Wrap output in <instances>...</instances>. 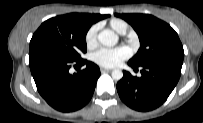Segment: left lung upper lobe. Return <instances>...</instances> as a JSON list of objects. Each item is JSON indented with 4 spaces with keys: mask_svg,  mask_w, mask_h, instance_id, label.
I'll use <instances>...</instances> for the list:
<instances>
[{
    "mask_svg": "<svg viewBox=\"0 0 203 123\" xmlns=\"http://www.w3.org/2000/svg\"><path fill=\"white\" fill-rule=\"evenodd\" d=\"M115 15L127 21L140 40V48L129 63L141 66L155 61L183 62V46L178 34L169 24L148 14Z\"/></svg>",
    "mask_w": 203,
    "mask_h": 123,
    "instance_id": "5c2ea615",
    "label": "left lung upper lobe"
}]
</instances>
